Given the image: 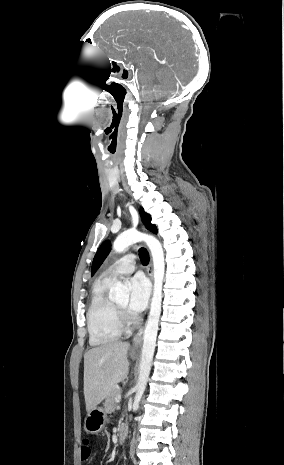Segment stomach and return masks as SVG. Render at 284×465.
I'll return each mask as SVG.
<instances>
[{
  "mask_svg": "<svg viewBox=\"0 0 284 465\" xmlns=\"http://www.w3.org/2000/svg\"><path fill=\"white\" fill-rule=\"evenodd\" d=\"M132 359H137L138 355L135 353H130ZM106 423V413L102 407H96V409H92L90 413H87V417L84 421V431L86 433H91V435H97L102 431L104 425Z\"/></svg>",
  "mask_w": 284,
  "mask_h": 465,
  "instance_id": "obj_1",
  "label": "stomach"
}]
</instances>
